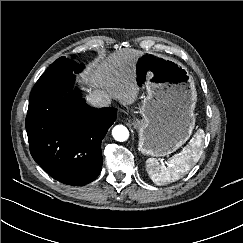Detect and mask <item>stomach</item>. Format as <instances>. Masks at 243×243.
I'll use <instances>...</instances> for the list:
<instances>
[{
    "instance_id": "0dacf381",
    "label": "stomach",
    "mask_w": 243,
    "mask_h": 243,
    "mask_svg": "<svg viewBox=\"0 0 243 243\" xmlns=\"http://www.w3.org/2000/svg\"><path fill=\"white\" fill-rule=\"evenodd\" d=\"M136 79L147 90L136 121L138 149L162 157L175 152L195 127L197 92L192 76L180 62L155 53H142L135 63Z\"/></svg>"
}]
</instances>
